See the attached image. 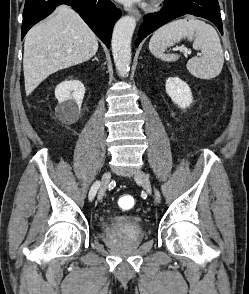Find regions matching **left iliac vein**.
Masks as SVG:
<instances>
[{"label":"left iliac vein","instance_id":"4c4485c4","mask_svg":"<svg viewBox=\"0 0 249 294\" xmlns=\"http://www.w3.org/2000/svg\"><path fill=\"white\" fill-rule=\"evenodd\" d=\"M134 179L136 180V182L141 184V186L143 187L146 193L148 194L152 193L151 182H150L149 176L145 172L138 170L136 174L134 175Z\"/></svg>","mask_w":249,"mask_h":294}]
</instances>
